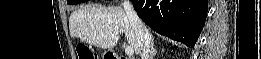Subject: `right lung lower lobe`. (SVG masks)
I'll return each mask as SVG.
<instances>
[{
  "mask_svg": "<svg viewBox=\"0 0 261 59\" xmlns=\"http://www.w3.org/2000/svg\"><path fill=\"white\" fill-rule=\"evenodd\" d=\"M133 6L154 31L194 47L205 24L208 0H133Z\"/></svg>",
  "mask_w": 261,
  "mask_h": 59,
  "instance_id": "right-lung-lower-lobe-1",
  "label": "right lung lower lobe"
}]
</instances>
